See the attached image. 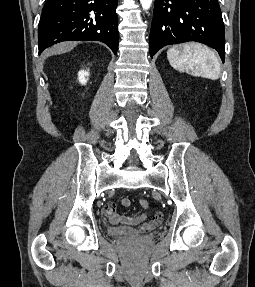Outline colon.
Instances as JSON below:
<instances>
[{
	"label": "colon",
	"mask_w": 255,
	"mask_h": 287,
	"mask_svg": "<svg viewBox=\"0 0 255 287\" xmlns=\"http://www.w3.org/2000/svg\"><path fill=\"white\" fill-rule=\"evenodd\" d=\"M140 206L144 209L148 208L149 203L146 200H140Z\"/></svg>",
	"instance_id": "colon-1"
}]
</instances>
